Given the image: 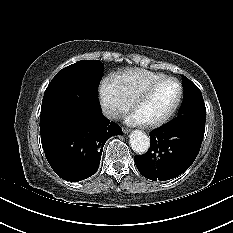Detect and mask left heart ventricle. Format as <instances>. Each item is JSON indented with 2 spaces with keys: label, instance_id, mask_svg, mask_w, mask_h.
I'll return each mask as SVG.
<instances>
[{
  "label": "left heart ventricle",
  "instance_id": "1",
  "mask_svg": "<svg viewBox=\"0 0 233 233\" xmlns=\"http://www.w3.org/2000/svg\"><path fill=\"white\" fill-rule=\"evenodd\" d=\"M177 94L175 83L162 81L156 84L136 106L145 121H152L163 116L173 104Z\"/></svg>",
  "mask_w": 233,
  "mask_h": 233
}]
</instances>
